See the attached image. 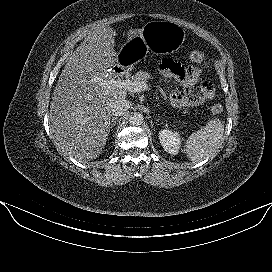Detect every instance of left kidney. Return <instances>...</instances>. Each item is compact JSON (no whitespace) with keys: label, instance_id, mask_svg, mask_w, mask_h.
<instances>
[{"label":"left kidney","instance_id":"1","mask_svg":"<svg viewBox=\"0 0 272 272\" xmlns=\"http://www.w3.org/2000/svg\"><path fill=\"white\" fill-rule=\"evenodd\" d=\"M159 140L166 152L175 155L179 152L181 138L178 132L169 128L160 130Z\"/></svg>","mask_w":272,"mask_h":272}]
</instances>
